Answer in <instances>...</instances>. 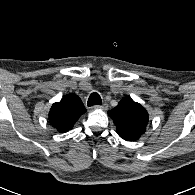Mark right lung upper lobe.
<instances>
[{"mask_svg":"<svg viewBox=\"0 0 195 195\" xmlns=\"http://www.w3.org/2000/svg\"><path fill=\"white\" fill-rule=\"evenodd\" d=\"M86 112L81 99L71 93L54 103L49 112V122L60 133L71 130L78 118Z\"/></svg>","mask_w":195,"mask_h":195,"instance_id":"right-lung-upper-lobe-1","label":"right lung upper lobe"}]
</instances>
